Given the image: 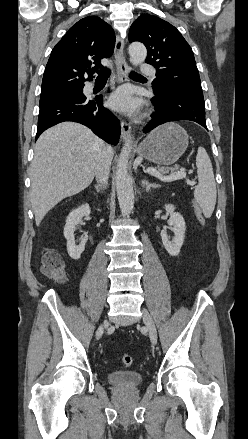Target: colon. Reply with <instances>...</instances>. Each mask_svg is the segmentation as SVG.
<instances>
[{
	"instance_id": "1",
	"label": "colon",
	"mask_w": 248,
	"mask_h": 439,
	"mask_svg": "<svg viewBox=\"0 0 248 439\" xmlns=\"http://www.w3.org/2000/svg\"><path fill=\"white\" fill-rule=\"evenodd\" d=\"M193 210L198 223L201 226L205 225L206 219L198 206V204L193 201ZM42 273L48 278L54 280L55 282L61 283L66 279L65 274V263L62 257L55 251L50 249H45L42 254ZM121 362L124 366H130L133 362V358L129 354H124L121 357Z\"/></svg>"
}]
</instances>
